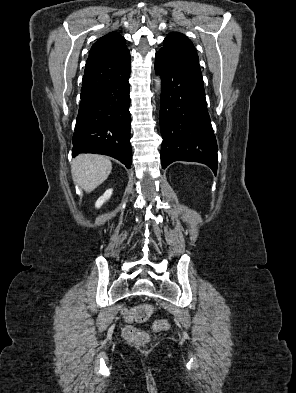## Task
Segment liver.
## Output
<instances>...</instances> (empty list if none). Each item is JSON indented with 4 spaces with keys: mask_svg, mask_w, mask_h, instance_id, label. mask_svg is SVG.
<instances>
[{
    "mask_svg": "<svg viewBox=\"0 0 296 393\" xmlns=\"http://www.w3.org/2000/svg\"><path fill=\"white\" fill-rule=\"evenodd\" d=\"M112 170L111 161L101 155L82 154L77 156L71 165L74 182L87 193L102 184Z\"/></svg>",
    "mask_w": 296,
    "mask_h": 393,
    "instance_id": "6515ba94",
    "label": "liver"
}]
</instances>
